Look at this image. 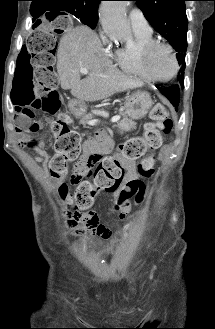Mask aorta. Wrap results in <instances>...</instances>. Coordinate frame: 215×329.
<instances>
[{
    "mask_svg": "<svg viewBox=\"0 0 215 329\" xmlns=\"http://www.w3.org/2000/svg\"><path fill=\"white\" fill-rule=\"evenodd\" d=\"M128 1H104L100 20L106 34L113 40L126 42L131 39V29L126 18Z\"/></svg>",
    "mask_w": 215,
    "mask_h": 329,
    "instance_id": "obj_1",
    "label": "aorta"
}]
</instances>
